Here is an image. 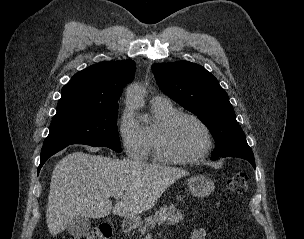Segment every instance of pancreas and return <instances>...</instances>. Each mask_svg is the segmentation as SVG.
<instances>
[{"mask_svg": "<svg viewBox=\"0 0 304 239\" xmlns=\"http://www.w3.org/2000/svg\"><path fill=\"white\" fill-rule=\"evenodd\" d=\"M183 220V215L180 211L176 210L175 205L171 204L169 206H163L158 211L155 212V215L145 219V225H140L139 231L144 233L147 228H154L156 224H176Z\"/></svg>", "mask_w": 304, "mask_h": 239, "instance_id": "cf45deb5", "label": "pancreas"}]
</instances>
